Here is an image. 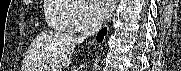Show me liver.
<instances>
[{
    "label": "liver",
    "mask_w": 181,
    "mask_h": 71,
    "mask_svg": "<svg viewBox=\"0 0 181 71\" xmlns=\"http://www.w3.org/2000/svg\"><path fill=\"white\" fill-rule=\"evenodd\" d=\"M78 38L61 32H42L32 42L22 71H61L71 63Z\"/></svg>",
    "instance_id": "liver-1"
}]
</instances>
